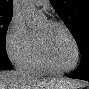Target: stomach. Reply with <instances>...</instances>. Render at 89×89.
Masks as SVG:
<instances>
[{"label":"stomach","mask_w":89,"mask_h":89,"mask_svg":"<svg viewBox=\"0 0 89 89\" xmlns=\"http://www.w3.org/2000/svg\"><path fill=\"white\" fill-rule=\"evenodd\" d=\"M57 89H63L62 87H60V88H57Z\"/></svg>","instance_id":"1"}]
</instances>
